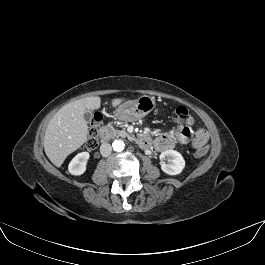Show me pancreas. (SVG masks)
<instances>
[{"instance_id":"1","label":"pancreas","mask_w":265,"mask_h":265,"mask_svg":"<svg viewBox=\"0 0 265 265\" xmlns=\"http://www.w3.org/2000/svg\"><path fill=\"white\" fill-rule=\"evenodd\" d=\"M115 124V123H114ZM113 123H110L108 126L112 129L111 137H130V135L125 130H118L115 129L113 126Z\"/></svg>"}]
</instances>
